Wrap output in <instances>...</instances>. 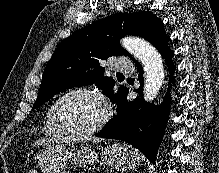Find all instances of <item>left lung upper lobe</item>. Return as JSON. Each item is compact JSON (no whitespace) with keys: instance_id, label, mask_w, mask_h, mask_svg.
Masks as SVG:
<instances>
[{"instance_id":"1","label":"left lung upper lobe","mask_w":219,"mask_h":173,"mask_svg":"<svg viewBox=\"0 0 219 173\" xmlns=\"http://www.w3.org/2000/svg\"><path fill=\"white\" fill-rule=\"evenodd\" d=\"M123 35L143 37L154 46L167 37L163 22L149 11L120 13L76 31L55 49L43 72L33 109L62 90L92 84L117 103L126 87L120 86L115 92V80L103 77L105 69L100 62L119 54L129 56L119 44Z\"/></svg>"}]
</instances>
